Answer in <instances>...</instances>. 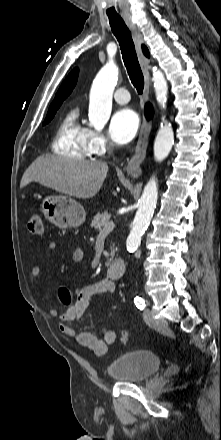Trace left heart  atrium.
Instances as JSON below:
<instances>
[{
  "label": "left heart atrium",
  "instance_id": "39dd6f15",
  "mask_svg": "<svg viewBox=\"0 0 221 440\" xmlns=\"http://www.w3.org/2000/svg\"><path fill=\"white\" fill-rule=\"evenodd\" d=\"M139 128V118L137 114L124 108L117 111L110 121V134L113 140L119 144H125L131 141Z\"/></svg>",
  "mask_w": 221,
  "mask_h": 440
}]
</instances>
